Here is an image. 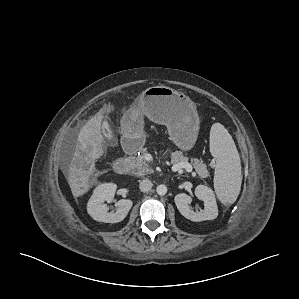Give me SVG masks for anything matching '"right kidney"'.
<instances>
[{"mask_svg": "<svg viewBox=\"0 0 299 299\" xmlns=\"http://www.w3.org/2000/svg\"><path fill=\"white\" fill-rule=\"evenodd\" d=\"M116 189L117 185L114 183H103L94 189L87 204V212L94 220L104 223H118L127 216L133 205L131 200H119L116 203L118 207L116 212H108V206L104 203L105 201L107 203L113 201Z\"/></svg>", "mask_w": 299, "mask_h": 299, "instance_id": "1", "label": "right kidney"}]
</instances>
